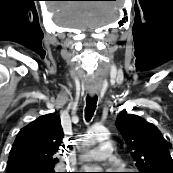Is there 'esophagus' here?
I'll list each match as a JSON object with an SVG mask.
<instances>
[{"label":"esophagus","instance_id":"34e87169","mask_svg":"<svg viewBox=\"0 0 173 173\" xmlns=\"http://www.w3.org/2000/svg\"><path fill=\"white\" fill-rule=\"evenodd\" d=\"M90 95H91V96H94V95H95V93L91 92V93H90Z\"/></svg>","mask_w":173,"mask_h":173}]
</instances>
